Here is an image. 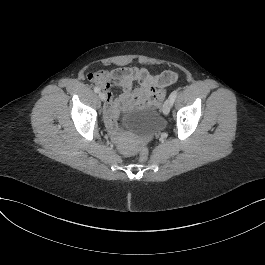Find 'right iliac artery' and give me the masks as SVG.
Listing matches in <instances>:
<instances>
[{
	"label": "right iliac artery",
	"mask_w": 265,
	"mask_h": 265,
	"mask_svg": "<svg viewBox=\"0 0 265 265\" xmlns=\"http://www.w3.org/2000/svg\"><path fill=\"white\" fill-rule=\"evenodd\" d=\"M94 91H95L96 93H99V92H100V88H98V87H94Z\"/></svg>",
	"instance_id": "obj_1"
}]
</instances>
